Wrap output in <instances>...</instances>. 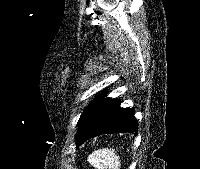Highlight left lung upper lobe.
<instances>
[{
  "label": "left lung upper lobe",
  "mask_w": 200,
  "mask_h": 169,
  "mask_svg": "<svg viewBox=\"0 0 200 169\" xmlns=\"http://www.w3.org/2000/svg\"><path fill=\"white\" fill-rule=\"evenodd\" d=\"M105 95H106V92H105V91L103 92L102 95L99 94L98 98L95 99V101H93V102L89 105V107H87V108L84 110V112L82 113V115H81V117H80V119H79V121H78V123H77V126L80 125V123H81V122L83 121V119L86 117V115H87L88 112L91 110V108H92L97 102H99Z\"/></svg>",
  "instance_id": "left-lung-upper-lobe-1"
}]
</instances>
